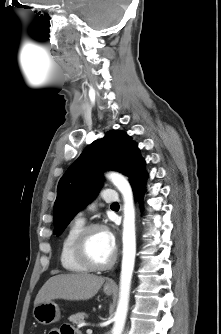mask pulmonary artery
Returning a JSON list of instances; mask_svg holds the SVG:
<instances>
[{
    "label": "pulmonary artery",
    "instance_id": "e3ab8cb5",
    "mask_svg": "<svg viewBox=\"0 0 221 334\" xmlns=\"http://www.w3.org/2000/svg\"><path fill=\"white\" fill-rule=\"evenodd\" d=\"M102 198L106 201V202H113L117 200V196L115 194V191L113 189H105L104 193L102 195ZM91 209L94 208V204H92L90 206ZM78 219L83 220V213H79L78 214Z\"/></svg>",
    "mask_w": 221,
    "mask_h": 334
}]
</instances>
